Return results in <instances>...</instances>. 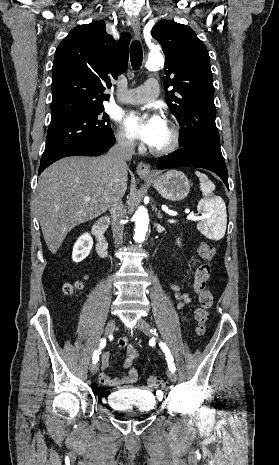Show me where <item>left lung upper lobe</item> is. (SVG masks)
Returning <instances> with one entry per match:
<instances>
[{
  "instance_id": "obj_1",
  "label": "left lung upper lobe",
  "mask_w": 279,
  "mask_h": 465,
  "mask_svg": "<svg viewBox=\"0 0 279 465\" xmlns=\"http://www.w3.org/2000/svg\"><path fill=\"white\" fill-rule=\"evenodd\" d=\"M152 36L166 56V101L180 124V146L224 160L215 124L214 86L206 46L187 25L160 21Z\"/></svg>"
}]
</instances>
